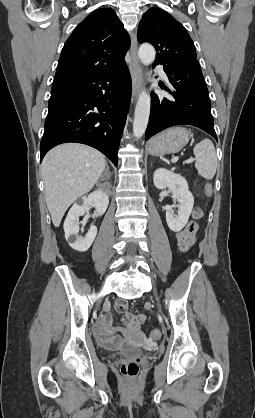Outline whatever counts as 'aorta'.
I'll return each instance as SVG.
<instances>
[{
	"label": "aorta",
	"instance_id": "762f6f07",
	"mask_svg": "<svg viewBox=\"0 0 255 418\" xmlns=\"http://www.w3.org/2000/svg\"><path fill=\"white\" fill-rule=\"evenodd\" d=\"M155 49L150 44H142L138 51V56L144 65L153 63L155 59ZM151 98L150 94L142 90L139 94L134 113L133 133L137 138L143 136L146 131L150 116Z\"/></svg>",
	"mask_w": 255,
	"mask_h": 418
}]
</instances>
